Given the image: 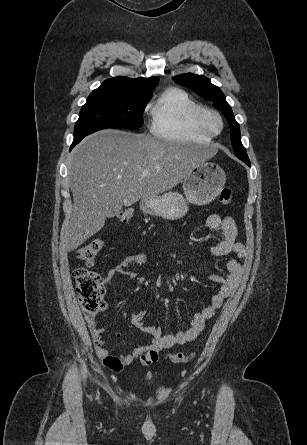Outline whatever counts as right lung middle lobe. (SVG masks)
<instances>
[{
    "label": "right lung middle lobe",
    "instance_id": "dd1d6c3e",
    "mask_svg": "<svg viewBox=\"0 0 307 445\" xmlns=\"http://www.w3.org/2000/svg\"><path fill=\"white\" fill-rule=\"evenodd\" d=\"M150 99L113 95L89 96L80 110L74 138H84L110 127L139 129L143 125L142 113Z\"/></svg>",
    "mask_w": 307,
    "mask_h": 445
}]
</instances>
